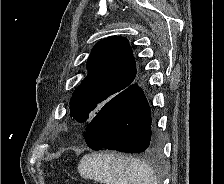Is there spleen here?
Segmentation results:
<instances>
[{
  "label": "spleen",
  "mask_w": 224,
  "mask_h": 184,
  "mask_svg": "<svg viewBox=\"0 0 224 184\" xmlns=\"http://www.w3.org/2000/svg\"><path fill=\"white\" fill-rule=\"evenodd\" d=\"M78 172L84 179L104 184H157L154 171L144 161L115 153L84 155Z\"/></svg>",
  "instance_id": "obj_1"
}]
</instances>
